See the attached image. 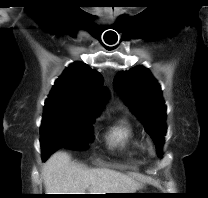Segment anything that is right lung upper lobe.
Masks as SVG:
<instances>
[{"instance_id": "obj_1", "label": "right lung upper lobe", "mask_w": 208, "mask_h": 198, "mask_svg": "<svg viewBox=\"0 0 208 198\" xmlns=\"http://www.w3.org/2000/svg\"><path fill=\"white\" fill-rule=\"evenodd\" d=\"M103 82L96 70L82 62L72 63L55 81L45 101L44 113L66 111L96 117L108 95Z\"/></svg>"}]
</instances>
